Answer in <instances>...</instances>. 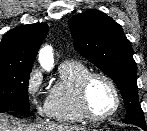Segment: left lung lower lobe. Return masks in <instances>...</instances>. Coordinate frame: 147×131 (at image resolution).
Masks as SVG:
<instances>
[{
  "label": "left lung lower lobe",
  "mask_w": 147,
  "mask_h": 131,
  "mask_svg": "<svg viewBox=\"0 0 147 131\" xmlns=\"http://www.w3.org/2000/svg\"><path fill=\"white\" fill-rule=\"evenodd\" d=\"M141 127L143 130L147 131L146 125L145 126H139Z\"/></svg>",
  "instance_id": "1"
}]
</instances>
